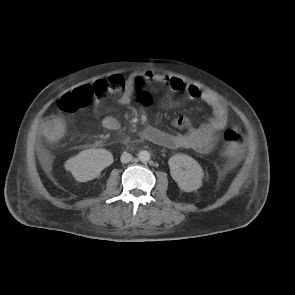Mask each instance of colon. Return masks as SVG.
<instances>
[{"label":"colon","instance_id":"obj_1","mask_svg":"<svg viewBox=\"0 0 295 295\" xmlns=\"http://www.w3.org/2000/svg\"><path fill=\"white\" fill-rule=\"evenodd\" d=\"M128 79L122 75H115L107 80H99L92 85H83L70 93L65 94L60 100V108L64 112H75L88 104L93 98L101 97L109 93H120L127 86ZM136 102L148 105L151 99L149 93H141L135 90ZM42 133L47 141L56 143L61 140L64 133V123L59 117L45 119L41 126ZM223 154L230 163L237 162L244 150V138L242 134L234 129H227L223 133Z\"/></svg>","mask_w":295,"mask_h":295}]
</instances>
